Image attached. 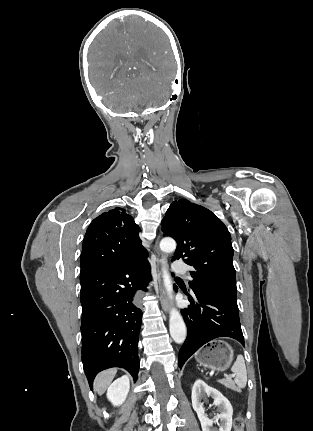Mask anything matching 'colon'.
<instances>
[{"label": "colon", "mask_w": 313, "mask_h": 431, "mask_svg": "<svg viewBox=\"0 0 313 431\" xmlns=\"http://www.w3.org/2000/svg\"><path fill=\"white\" fill-rule=\"evenodd\" d=\"M244 423L241 417H237L234 422L235 431H243Z\"/></svg>", "instance_id": "obj_1"}]
</instances>
